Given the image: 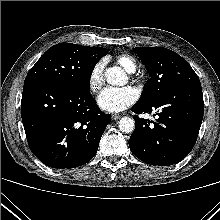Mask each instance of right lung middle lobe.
I'll return each mask as SVG.
<instances>
[{"instance_id":"obj_1","label":"right lung middle lobe","mask_w":220,"mask_h":220,"mask_svg":"<svg viewBox=\"0 0 220 220\" xmlns=\"http://www.w3.org/2000/svg\"><path fill=\"white\" fill-rule=\"evenodd\" d=\"M107 54L100 47L59 43L49 48L28 72L24 84L57 82L89 88L94 66Z\"/></svg>"}]
</instances>
